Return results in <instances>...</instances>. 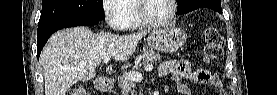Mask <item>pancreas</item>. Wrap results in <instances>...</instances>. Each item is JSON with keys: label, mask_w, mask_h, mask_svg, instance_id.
Segmentation results:
<instances>
[{"label": "pancreas", "mask_w": 277, "mask_h": 95, "mask_svg": "<svg viewBox=\"0 0 277 95\" xmlns=\"http://www.w3.org/2000/svg\"><path fill=\"white\" fill-rule=\"evenodd\" d=\"M161 59V56L154 52L153 50L144 51L141 56H139L140 64H150L157 63ZM135 69L138 65L134 66ZM118 86L121 89L122 95H136V84L128 78V73L123 74L118 79Z\"/></svg>", "instance_id": "cf45deb5"}]
</instances>
